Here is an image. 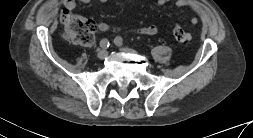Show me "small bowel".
Wrapping results in <instances>:
<instances>
[{"label": "small bowel", "instance_id": "small-bowel-1", "mask_svg": "<svg viewBox=\"0 0 253 138\" xmlns=\"http://www.w3.org/2000/svg\"><path fill=\"white\" fill-rule=\"evenodd\" d=\"M63 1V5L64 7L68 10V11H72L75 9L76 7V0H62ZM82 3H89L92 0H78ZM100 2H106L108 0H98ZM170 0H155L156 5L158 6H162L165 5L169 2ZM175 7L176 8H182L185 6H192V4L190 2H188L187 0H177L175 2ZM198 17H194L191 19V22L193 24H196L198 22ZM95 28L96 30L100 31V32H120L121 28L117 27V26H111L106 22H98L95 24ZM159 31V28L156 25H146V26H141L135 29H131V30H127L126 32L128 33H137V34H142V35H155L157 34Z\"/></svg>", "mask_w": 253, "mask_h": 138}]
</instances>
